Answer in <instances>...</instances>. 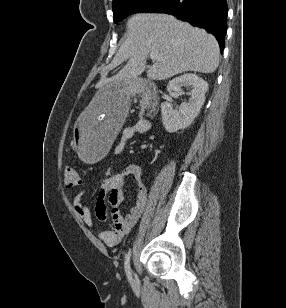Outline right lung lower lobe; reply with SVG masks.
Instances as JSON below:
<instances>
[{"instance_id":"98d812e1","label":"right lung lower lobe","mask_w":286,"mask_h":308,"mask_svg":"<svg viewBox=\"0 0 286 308\" xmlns=\"http://www.w3.org/2000/svg\"><path fill=\"white\" fill-rule=\"evenodd\" d=\"M152 12L167 13L207 29L224 49L228 7L226 0H167Z\"/></svg>"}]
</instances>
